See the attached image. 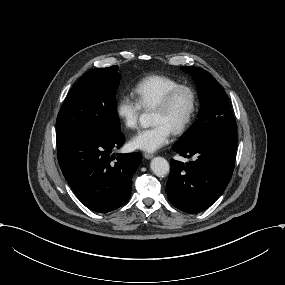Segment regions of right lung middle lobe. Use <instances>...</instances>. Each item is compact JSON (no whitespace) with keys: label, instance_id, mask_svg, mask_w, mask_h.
Wrapping results in <instances>:
<instances>
[{"label":"right lung middle lobe","instance_id":"dd1d6c3e","mask_svg":"<svg viewBox=\"0 0 285 285\" xmlns=\"http://www.w3.org/2000/svg\"><path fill=\"white\" fill-rule=\"evenodd\" d=\"M120 78L117 66L97 68L83 74L58 113L56 136L120 134L115 97Z\"/></svg>","mask_w":285,"mask_h":285}]
</instances>
